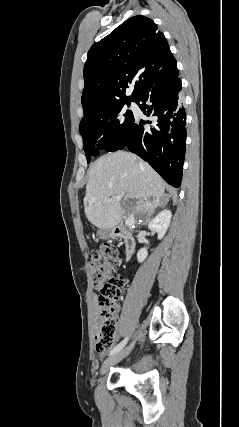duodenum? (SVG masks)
<instances>
[{"label":"duodenum","instance_id":"duodenum-1","mask_svg":"<svg viewBox=\"0 0 239 427\" xmlns=\"http://www.w3.org/2000/svg\"><path fill=\"white\" fill-rule=\"evenodd\" d=\"M112 234L122 238L125 257L130 258L136 247L133 232L125 226H117L112 229Z\"/></svg>","mask_w":239,"mask_h":427}]
</instances>
